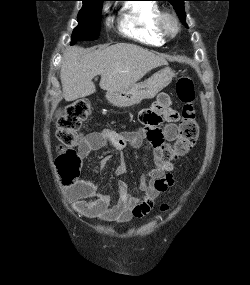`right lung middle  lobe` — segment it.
Wrapping results in <instances>:
<instances>
[{"label":"right lung middle lobe","mask_w":250,"mask_h":285,"mask_svg":"<svg viewBox=\"0 0 250 285\" xmlns=\"http://www.w3.org/2000/svg\"><path fill=\"white\" fill-rule=\"evenodd\" d=\"M81 1L83 2V7L77 17L79 25L72 34V44L81 40H96L100 35L102 3L106 0Z\"/></svg>","instance_id":"dd1d6c3e"}]
</instances>
